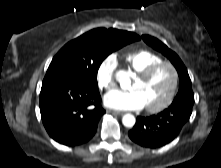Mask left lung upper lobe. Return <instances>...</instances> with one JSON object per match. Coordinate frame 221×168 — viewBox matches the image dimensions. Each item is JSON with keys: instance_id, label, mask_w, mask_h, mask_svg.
<instances>
[{"instance_id": "5c2ea615", "label": "left lung upper lobe", "mask_w": 221, "mask_h": 168, "mask_svg": "<svg viewBox=\"0 0 221 168\" xmlns=\"http://www.w3.org/2000/svg\"><path fill=\"white\" fill-rule=\"evenodd\" d=\"M142 39L150 45L152 48L156 49L157 51L161 52L165 55L171 63L175 66L179 79V91L177 96L174 98V101L184 100V99H192L194 100V94L191 88V80L188 75L187 69L178 55L170 50L165 44H163L158 39L151 37L149 35H143Z\"/></svg>"}]
</instances>
